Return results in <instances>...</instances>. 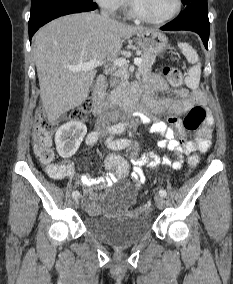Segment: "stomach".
Here are the masks:
<instances>
[{
    "mask_svg": "<svg viewBox=\"0 0 233 284\" xmlns=\"http://www.w3.org/2000/svg\"><path fill=\"white\" fill-rule=\"evenodd\" d=\"M137 41L144 53L156 56L167 48V37L153 29H147L137 34Z\"/></svg>",
    "mask_w": 233,
    "mask_h": 284,
    "instance_id": "obj_1",
    "label": "stomach"
}]
</instances>
